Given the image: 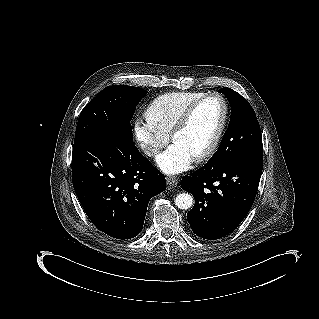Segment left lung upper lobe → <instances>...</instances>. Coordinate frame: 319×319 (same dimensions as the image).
Masks as SVG:
<instances>
[{
    "label": "left lung upper lobe",
    "mask_w": 319,
    "mask_h": 319,
    "mask_svg": "<svg viewBox=\"0 0 319 319\" xmlns=\"http://www.w3.org/2000/svg\"><path fill=\"white\" fill-rule=\"evenodd\" d=\"M218 92L223 93L231 104V119L218 150L207 163H223L239 156L263 153L260 126L252 106L228 87Z\"/></svg>",
    "instance_id": "1"
}]
</instances>
